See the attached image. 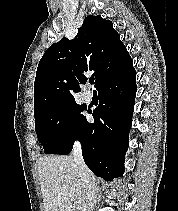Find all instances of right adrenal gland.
<instances>
[{
	"label": "right adrenal gland",
	"instance_id": "1",
	"mask_svg": "<svg viewBox=\"0 0 178 211\" xmlns=\"http://www.w3.org/2000/svg\"><path fill=\"white\" fill-rule=\"evenodd\" d=\"M96 191H97V193L99 192V186H97Z\"/></svg>",
	"mask_w": 178,
	"mask_h": 211
}]
</instances>
